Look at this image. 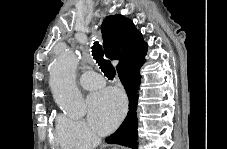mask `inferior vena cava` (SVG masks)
<instances>
[{"mask_svg": "<svg viewBox=\"0 0 227 149\" xmlns=\"http://www.w3.org/2000/svg\"><path fill=\"white\" fill-rule=\"evenodd\" d=\"M101 141V139L100 138H97V142H100Z\"/></svg>", "mask_w": 227, "mask_h": 149, "instance_id": "obj_1", "label": "inferior vena cava"}]
</instances>
